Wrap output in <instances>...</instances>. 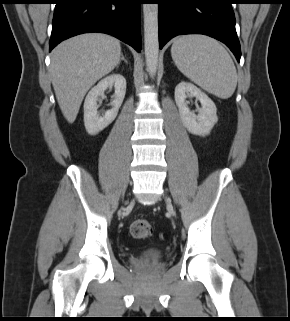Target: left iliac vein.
<instances>
[{"instance_id": "left-iliac-vein-1", "label": "left iliac vein", "mask_w": 290, "mask_h": 321, "mask_svg": "<svg viewBox=\"0 0 290 321\" xmlns=\"http://www.w3.org/2000/svg\"><path fill=\"white\" fill-rule=\"evenodd\" d=\"M166 202H167V206L169 209H172V205H171V202L169 199H166Z\"/></svg>"}]
</instances>
